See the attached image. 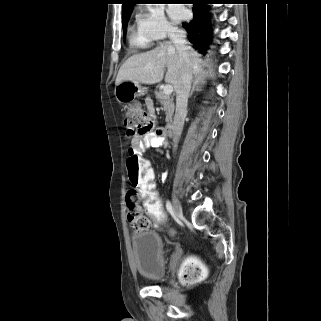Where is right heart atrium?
<instances>
[{"label": "right heart atrium", "instance_id": "right-heart-atrium-1", "mask_svg": "<svg viewBox=\"0 0 321 321\" xmlns=\"http://www.w3.org/2000/svg\"><path fill=\"white\" fill-rule=\"evenodd\" d=\"M138 29L151 40H162L176 32V28L167 20L164 12L155 6L142 8L137 15Z\"/></svg>", "mask_w": 321, "mask_h": 321}]
</instances>
